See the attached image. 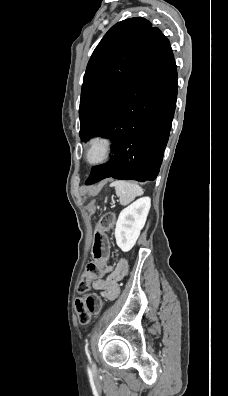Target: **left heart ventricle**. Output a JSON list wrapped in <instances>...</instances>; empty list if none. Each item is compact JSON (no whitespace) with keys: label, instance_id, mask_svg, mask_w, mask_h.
<instances>
[{"label":"left heart ventricle","instance_id":"b2bd125f","mask_svg":"<svg viewBox=\"0 0 228 396\" xmlns=\"http://www.w3.org/2000/svg\"><path fill=\"white\" fill-rule=\"evenodd\" d=\"M98 154H99L98 150H95L94 153H93L94 156H97Z\"/></svg>","mask_w":228,"mask_h":396}]
</instances>
